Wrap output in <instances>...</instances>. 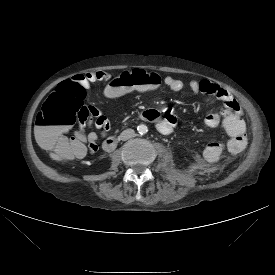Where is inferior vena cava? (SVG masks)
I'll use <instances>...</instances> for the list:
<instances>
[{
	"label": "inferior vena cava",
	"instance_id": "602c4592",
	"mask_svg": "<svg viewBox=\"0 0 275 275\" xmlns=\"http://www.w3.org/2000/svg\"><path fill=\"white\" fill-rule=\"evenodd\" d=\"M134 135H135V132L133 129H126V130L122 131V133L119 136V139L126 141V140L134 137Z\"/></svg>",
	"mask_w": 275,
	"mask_h": 275
}]
</instances>
